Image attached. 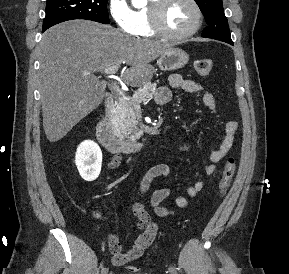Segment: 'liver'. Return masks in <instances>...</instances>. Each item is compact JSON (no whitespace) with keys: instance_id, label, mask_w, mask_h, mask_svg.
I'll use <instances>...</instances> for the list:
<instances>
[{"instance_id":"obj_1","label":"liver","mask_w":289,"mask_h":274,"mask_svg":"<svg viewBox=\"0 0 289 274\" xmlns=\"http://www.w3.org/2000/svg\"><path fill=\"white\" fill-rule=\"evenodd\" d=\"M170 44L136 39L87 20H72L45 31L39 44L40 93L47 139L57 142L103 101L105 87L94 75L126 63L123 81L142 86L153 76L150 63Z\"/></svg>"}]
</instances>
